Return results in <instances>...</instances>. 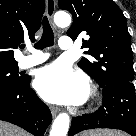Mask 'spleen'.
<instances>
[{"label":"spleen","instance_id":"3e777b00","mask_svg":"<svg viewBox=\"0 0 136 136\" xmlns=\"http://www.w3.org/2000/svg\"><path fill=\"white\" fill-rule=\"evenodd\" d=\"M83 136H123L120 132L112 130H96L83 134Z\"/></svg>","mask_w":136,"mask_h":136}]
</instances>
